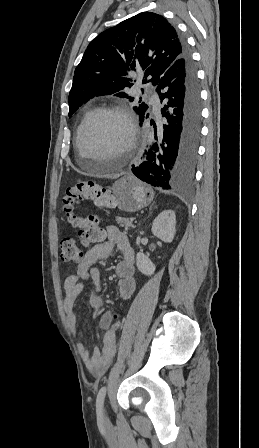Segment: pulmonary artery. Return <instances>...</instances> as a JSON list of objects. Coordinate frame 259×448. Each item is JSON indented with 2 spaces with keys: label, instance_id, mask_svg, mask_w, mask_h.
<instances>
[{
  "label": "pulmonary artery",
  "instance_id": "obj_1",
  "mask_svg": "<svg viewBox=\"0 0 259 448\" xmlns=\"http://www.w3.org/2000/svg\"><path fill=\"white\" fill-rule=\"evenodd\" d=\"M149 100L153 104L154 109L156 111H160L161 110V107H162L161 101H160V98L157 95L150 96Z\"/></svg>",
  "mask_w": 259,
  "mask_h": 448
}]
</instances>
